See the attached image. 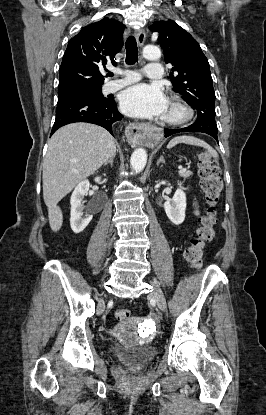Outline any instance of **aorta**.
<instances>
[{"instance_id":"obj_1","label":"aorta","mask_w":266,"mask_h":415,"mask_svg":"<svg viewBox=\"0 0 266 415\" xmlns=\"http://www.w3.org/2000/svg\"><path fill=\"white\" fill-rule=\"evenodd\" d=\"M143 56L145 59L148 60H156L161 56V52L158 47L153 45H147L143 49ZM146 162L147 153L144 149L139 148L132 153L130 165L136 173L141 172L145 168Z\"/></svg>"}]
</instances>
